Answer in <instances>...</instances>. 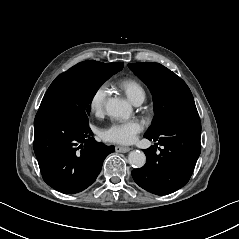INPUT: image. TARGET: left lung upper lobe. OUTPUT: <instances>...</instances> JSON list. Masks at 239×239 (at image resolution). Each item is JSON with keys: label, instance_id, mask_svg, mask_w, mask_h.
Returning <instances> with one entry per match:
<instances>
[{"label": "left lung upper lobe", "instance_id": "1", "mask_svg": "<svg viewBox=\"0 0 239 239\" xmlns=\"http://www.w3.org/2000/svg\"><path fill=\"white\" fill-rule=\"evenodd\" d=\"M128 66L153 95L155 116L144 136H159L166 125L177 119L199 117L189 87L175 73L159 63H130Z\"/></svg>", "mask_w": 239, "mask_h": 239}]
</instances>
